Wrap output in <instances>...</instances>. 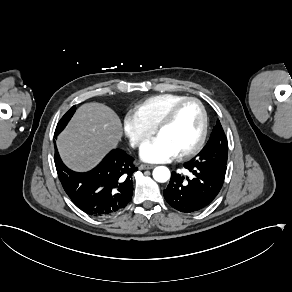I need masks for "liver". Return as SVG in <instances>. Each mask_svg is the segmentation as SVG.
Returning <instances> with one entry per match:
<instances>
[{"instance_id":"6515ba94","label":"liver","mask_w":292,"mask_h":292,"mask_svg":"<svg viewBox=\"0 0 292 292\" xmlns=\"http://www.w3.org/2000/svg\"><path fill=\"white\" fill-rule=\"evenodd\" d=\"M122 134L121 121L111 108L97 102L85 103L59 135L57 146L69 168L85 172L117 146Z\"/></svg>"}]
</instances>
